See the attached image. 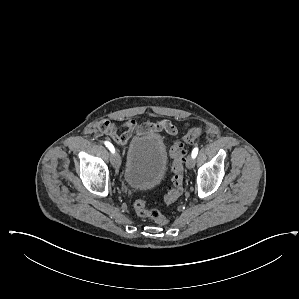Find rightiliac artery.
<instances>
[{
    "mask_svg": "<svg viewBox=\"0 0 299 299\" xmlns=\"http://www.w3.org/2000/svg\"><path fill=\"white\" fill-rule=\"evenodd\" d=\"M105 146L112 152H115L114 146L109 141H104Z\"/></svg>",
    "mask_w": 299,
    "mask_h": 299,
    "instance_id": "82829eb1",
    "label": "right iliac artery"
}]
</instances>
